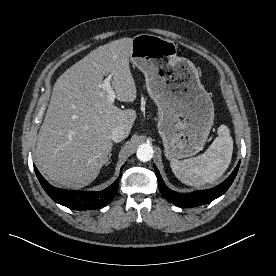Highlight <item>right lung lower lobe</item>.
I'll use <instances>...</instances> for the list:
<instances>
[{
	"mask_svg": "<svg viewBox=\"0 0 276 276\" xmlns=\"http://www.w3.org/2000/svg\"><path fill=\"white\" fill-rule=\"evenodd\" d=\"M34 170L45 192L55 202L74 210H91L101 208L115 197L118 190L117 181L105 190L99 192L58 189L50 185L35 166Z\"/></svg>",
	"mask_w": 276,
	"mask_h": 276,
	"instance_id": "98d812e1",
	"label": "right lung lower lobe"
}]
</instances>
